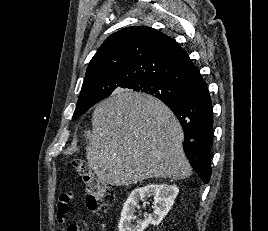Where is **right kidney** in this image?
<instances>
[{"label": "right kidney", "mask_w": 268, "mask_h": 231, "mask_svg": "<svg viewBox=\"0 0 268 231\" xmlns=\"http://www.w3.org/2000/svg\"><path fill=\"white\" fill-rule=\"evenodd\" d=\"M179 193L176 185L149 184L134 189L124 203L121 218L118 224L119 231H144L149 224L159 225L174 204ZM154 197L153 214L136 225L132 223L136 219L135 208L140 200L145 197Z\"/></svg>", "instance_id": "ca27d5eb"}]
</instances>
